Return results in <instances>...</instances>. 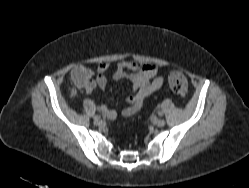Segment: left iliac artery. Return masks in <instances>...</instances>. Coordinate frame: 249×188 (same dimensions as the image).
Masks as SVG:
<instances>
[{
	"label": "left iliac artery",
	"mask_w": 249,
	"mask_h": 188,
	"mask_svg": "<svg viewBox=\"0 0 249 188\" xmlns=\"http://www.w3.org/2000/svg\"><path fill=\"white\" fill-rule=\"evenodd\" d=\"M158 115H159V116H162V115H163V113H162V112H158Z\"/></svg>",
	"instance_id": "44dca946"
}]
</instances>
